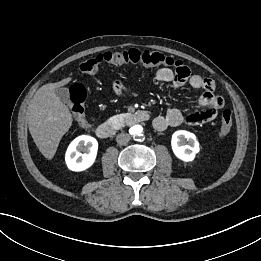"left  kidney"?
Masks as SVG:
<instances>
[{"label": "left kidney", "instance_id": "1", "mask_svg": "<svg viewBox=\"0 0 261 261\" xmlns=\"http://www.w3.org/2000/svg\"><path fill=\"white\" fill-rule=\"evenodd\" d=\"M171 146L175 156L185 162L193 161L200 150L196 136L185 130L176 131L172 135Z\"/></svg>", "mask_w": 261, "mask_h": 261}]
</instances>
